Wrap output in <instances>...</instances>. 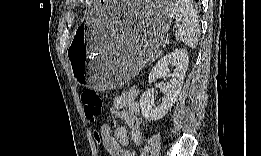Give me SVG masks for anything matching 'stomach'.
Returning a JSON list of instances; mask_svg holds the SVG:
<instances>
[{"label":"stomach","instance_id":"obj_1","mask_svg":"<svg viewBox=\"0 0 261 156\" xmlns=\"http://www.w3.org/2000/svg\"><path fill=\"white\" fill-rule=\"evenodd\" d=\"M171 13L169 4L161 2L96 5L77 27L68 50L76 82L105 90L129 81L162 44Z\"/></svg>","mask_w":261,"mask_h":156}]
</instances>
